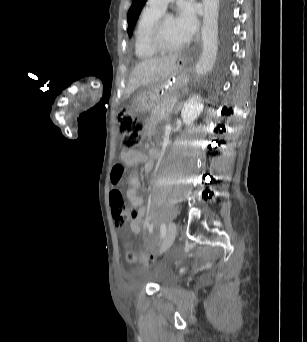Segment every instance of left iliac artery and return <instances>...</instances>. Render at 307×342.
Returning <instances> with one entry per match:
<instances>
[{"label":"left iliac artery","instance_id":"44dca946","mask_svg":"<svg viewBox=\"0 0 307 342\" xmlns=\"http://www.w3.org/2000/svg\"><path fill=\"white\" fill-rule=\"evenodd\" d=\"M160 232H161V238H163L166 234V225L164 223H161Z\"/></svg>","mask_w":307,"mask_h":342}]
</instances>
